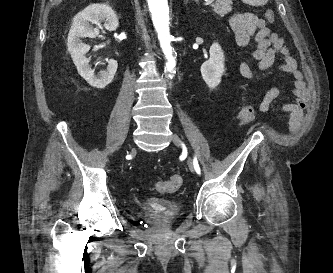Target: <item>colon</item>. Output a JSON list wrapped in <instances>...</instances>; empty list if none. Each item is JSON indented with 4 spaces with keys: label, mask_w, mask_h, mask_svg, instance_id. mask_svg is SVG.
Returning <instances> with one entry per match:
<instances>
[{
    "label": "colon",
    "mask_w": 333,
    "mask_h": 273,
    "mask_svg": "<svg viewBox=\"0 0 333 273\" xmlns=\"http://www.w3.org/2000/svg\"><path fill=\"white\" fill-rule=\"evenodd\" d=\"M265 18L272 23L275 19V14L272 10L265 12ZM256 116V108L254 105L248 104L242 107L240 111V120L242 123L251 122ZM182 186V178L180 175L174 174L166 180H160L155 184V188L160 193H173Z\"/></svg>",
    "instance_id": "colon-1"
}]
</instances>
